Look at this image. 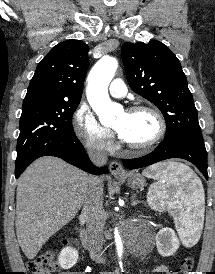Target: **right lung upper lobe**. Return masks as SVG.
<instances>
[{
	"label": "right lung upper lobe",
	"instance_id": "obj_1",
	"mask_svg": "<svg viewBox=\"0 0 215 274\" xmlns=\"http://www.w3.org/2000/svg\"><path fill=\"white\" fill-rule=\"evenodd\" d=\"M88 50L87 44L73 39L53 47L38 64L23 103L36 100L80 102Z\"/></svg>",
	"mask_w": 215,
	"mask_h": 274
}]
</instances>
